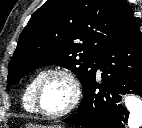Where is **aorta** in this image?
Returning a JSON list of instances; mask_svg holds the SVG:
<instances>
[{"mask_svg":"<svg viewBox=\"0 0 142 128\" xmlns=\"http://www.w3.org/2000/svg\"><path fill=\"white\" fill-rule=\"evenodd\" d=\"M125 107L129 111L128 128L142 126V100L135 95H128L124 99Z\"/></svg>","mask_w":142,"mask_h":128,"instance_id":"1","label":"aorta"}]
</instances>
